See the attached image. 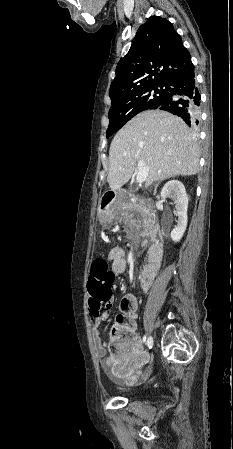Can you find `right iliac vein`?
<instances>
[{
	"label": "right iliac vein",
	"mask_w": 233,
	"mask_h": 449,
	"mask_svg": "<svg viewBox=\"0 0 233 449\" xmlns=\"http://www.w3.org/2000/svg\"><path fill=\"white\" fill-rule=\"evenodd\" d=\"M148 340H149L150 342H152V344H153V338H152V337H149ZM152 346H153V345H152Z\"/></svg>",
	"instance_id": "63e3f726"
}]
</instances>
